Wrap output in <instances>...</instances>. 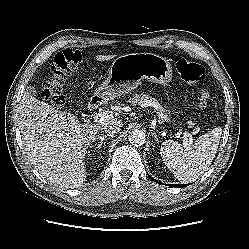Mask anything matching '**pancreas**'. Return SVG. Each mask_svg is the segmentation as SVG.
<instances>
[{
	"label": "pancreas",
	"instance_id": "cf45deb5",
	"mask_svg": "<svg viewBox=\"0 0 249 249\" xmlns=\"http://www.w3.org/2000/svg\"><path fill=\"white\" fill-rule=\"evenodd\" d=\"M132 105H155L154 108L158 113L159 123H163L169 120L168 115L165 112V109L159 104V102L146 94H134L133 98L130 100Z\"/></svg>",
	"mask_w": 249,
	"mask_h": 249
}]
</instances>
